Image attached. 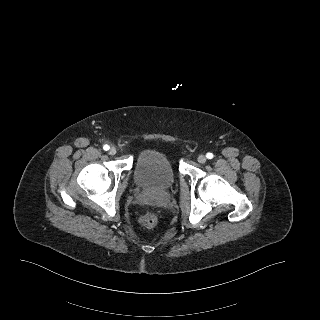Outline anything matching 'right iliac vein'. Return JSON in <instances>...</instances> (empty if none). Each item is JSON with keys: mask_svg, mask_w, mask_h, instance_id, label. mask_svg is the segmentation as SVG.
I'll return each instance as SVG.
<instances>
[{"mask_svg": "<svg viewBox=\"0 0 320 320\" xmlns=\"http://www.w3.org/2000/svg\"><path fill=\"white\" fill-rule=\"evenodd\" d=\"M117 152L116 148L115 147H111L110 150H109V154L110 155H115Z\"/></svg>", "mask_w": 320, "mask_h": 320, "instance_id": "right-iliac-vein-1", "label": "right iliac vein"}]
</instances>
